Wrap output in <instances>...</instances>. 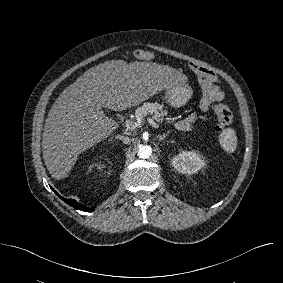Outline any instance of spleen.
Instances as JSON below:
<instances>
[{"instance_id": "spleen-1", "label": "spleen", "mask_w": 283, "mask_h": 283, "mask_svg": "<svg viewBox=\"0 0 283 283\" xmlns=\"http://www.w3.org/2000/svg\"><path fill=\"white\" fill-rule=\"evenodd\" d=\"M219 142L224 151L233 153L237 147L235 130L232 128L224 129L219 136Z\"/></svg>"}]
</instances>
